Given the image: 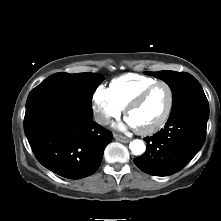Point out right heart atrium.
Segmentation results:
<instances>
[{
  "label": "right heart atrium",
  "mask_w": 221,
  "mask_h": 221,
  "mask_svg": "<svg viewBox=\"0 0 221 221\" xmlns=\"http://www.w3.org/2000/svg\"><path fill=\"white\" fill-rule=\"evenodd\" d=\"M94 118L100 125H106L121 115L122 109L114 100L109 88L99 85L92 96Z\"/></svg>",
  "instance_id": "1"
}]
</instances>
